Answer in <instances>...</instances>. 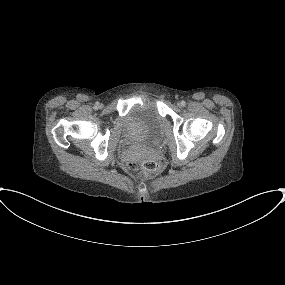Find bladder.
<instances>
[{
    "instance_id": "31cf9c89",
    "label": "bladder",
    "mask_w": 285,
    "mask_h": 285,
    "mask_svg": "<svg viewBox=\"0 0 285 285\" xmlns=\"http://www.w3.org/2000/svg\"><path fill=\"white\" fill-rule=\"evenodd\" d=\"M124 139L128 147L143 140H152L157 147L164 145L162 116L155 101L143 100L130 108L124 122Z\"/></svg>"
}]
</instances>
